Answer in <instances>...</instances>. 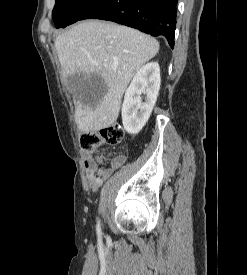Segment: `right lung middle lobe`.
I'll list each match as a JSON object with an SVG mask.
<instances>
[{
    "label": "right lung middle lobe",
    "mask_w": 247,
    "mask_h": 275,
    "mask_svg": "<svg viewBox=\"0 0 247 275\" xmlns=\"http://www.w3.org/2000/svg\"><path fill=\"white\" fill-rule=\"evenodd\" d=\"M99 0H56L52 18L56 28H64L77 22L81 15Z\"/></svg>",
    "instance_id": "1"
}]
</instances>
